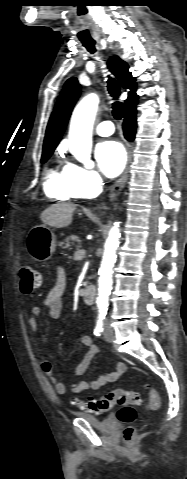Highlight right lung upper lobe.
<instances>
[{
	"label": "right lung upper lobe",
	"mask_w": 187,
	"mask_h": 479,
	"mask_svg": "<svg viewBox=\"0 0 187 479\" xmlns=\"http://www.w3.org/2000/svg\"><path fill=\"white\" fill-rule=\"evenodd\" d=\"M108 67L117 77L121 87L130 89L128 98L125 100V108L130 109L137 104L136 82L128 70L126 62L118 56L112 57L108 62ZM80 95V85L76 78H70L64 85L62 94L55 106L54 112L47 126L44 139L43 152L53 150L59 143L64 132V128L70 117L71 111Z\"/></svg>",
	"instance_id": "obj_1"
}]
</instances>
